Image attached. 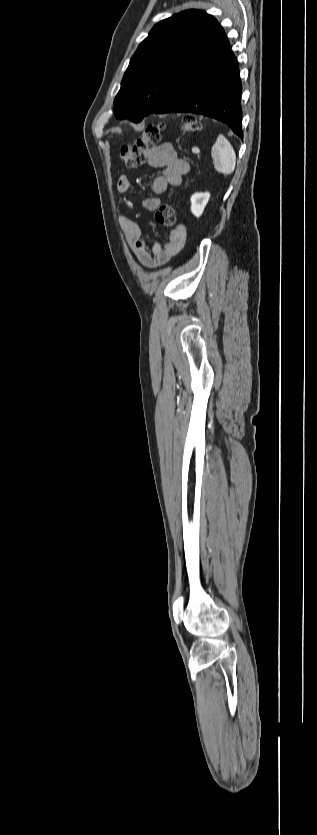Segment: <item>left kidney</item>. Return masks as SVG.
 I'll use <instances>...</instances> for the list:
<instances>
[{"mask_svg":"<svg viewBox=\"0 0 317 835\" xmlns=\"http://www.w3.org/2000/svg\"><path fill=\"white\" fill-rule=\"evenodd\" d=\"M209 199L210 193L208 192L194 193L190 198L191 212L193 213V215H195L196 217H200Z\"/></svg>","mask_w":317,"mask_h":835,"instance_id":"obj_1","label":"left kidney"}]
</instances>
